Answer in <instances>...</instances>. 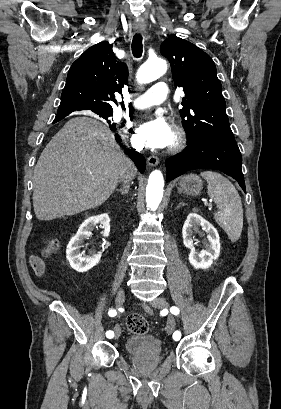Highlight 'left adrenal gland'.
Returning <instances> with one entry per match:
<instances>
[{
  "mask_svg": "<svg viewBox=\"0 0 281 409\" xmlns=\"http://www.w3.org/2000/svg\"><path fill=\"white\" fill-rule=\"evenodd\" d=\"M184 205H187V202H179L177 209H179V207H184Z\"/></svg>",
  "mask_w": 281,
  "mask_h": 409,
  "instance_id": "left-adrenal-gland-1",
  "label": "left adrenal gland"
}]
</instances>
